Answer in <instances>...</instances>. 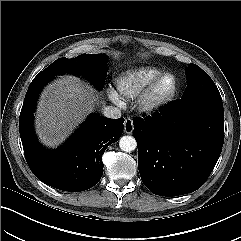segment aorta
<instances>
[{
    "label": "aorta",
    "mask_w": 241,
    "mask_h": 241,
    "mask_svg": "<svg viewBox=\"0 0 241 241\" xmlns=\"http://www.w3.org/2000/svg\"><path fill=\"white\" fill-rule=\"evenodd\" d=\"M120 149L124 152H131L136 149L137 142L132 136H123L119 140Z\"/></svg>",
    "instance_id": "1"
}]
</instances>
